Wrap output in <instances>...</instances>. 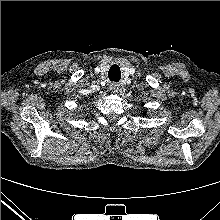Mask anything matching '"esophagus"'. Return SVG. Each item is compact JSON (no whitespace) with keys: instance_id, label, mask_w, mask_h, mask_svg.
<instances>
[{"instance_id":"esophagus-1","label":"esophagus","mask_w":220,"mask_h":220,"mask_svg":"<svg viewBox=\"0 0 220 220\" xmlns=\"http://www.w3.org/2000/svg\"><path fill=\"white\" fill-rule=\"evenodd\" d=\"M118 88H119V85L116 84V83H112V84L110 85V90H111V92H113V93L117 92Z\"/></svg>"}]
</instances>
